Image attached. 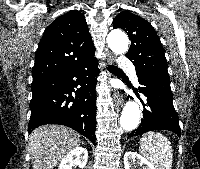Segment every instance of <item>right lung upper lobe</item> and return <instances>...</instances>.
Here are the masks:
<instances>
[{
    "label": "right lung upper lobe",
    "mask_w": 200,
    "mask_h": 169,
    "mask_svg": "<svg viewBox=\"0 0 200 169\" xmlns=\"http://www.w3.org/2000/svg\"><path fill=\"white\" fill-rule=\"evenodd\" d=\"M94 51L83 14L70 10L46 28L35 55L33 82L77 68Z\"/></svg>",
    "instance_id": "cb5924a9"
}]
</instances>
